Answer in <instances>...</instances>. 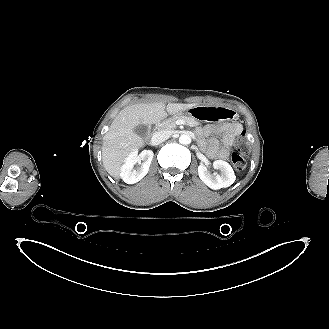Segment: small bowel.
Here are the masks:
<instances>
[{"instance_id":"c3829d8e","label":"small bowel","mask_w":329,"mask_h":329,"mask_svg":"<svg viewBox=\"0 0 329 329\" xmlns=\"http://www.w3.org/2000/svg\"><path fill=\"white\" fill-rule=\"evenodd\" d=\"M204 132L210 136L208 141L210 155L214 158L225 159L230 155L236 137L242 133V127L238 123H232L224 129L210 125Z\"/></svg>"}]
</instances>
